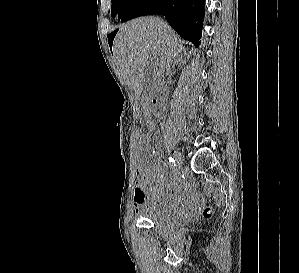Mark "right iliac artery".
<instances>
[{"instance_id": "right-iliac-artery-1", "label": "right iliac artery", "mask_w": 299, "mask_h": 273, "mask_svg": "<svg viewBox=\"0 0 299 273\" xmlns=\"http://www.w3.org/2000/svg\"><path fill=\"white\" fill-rule=\"evenodd\" d=\"M168 162H169V166H170V168L175 167V165H176V160H175V158H173V157H169V158H168Z\"/></svg>"}]
</instances>
